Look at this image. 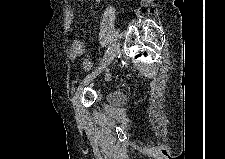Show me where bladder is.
Returning a JSON list of instances; mask_svg holds the SVG:
<instances>
[{
    "instance_id": "31cf9c89",
    "label": "bladder",
    "mask_w": 225,
    "mask_h": 159,
    "mask_svg": "<svg viewBox=\"0 0 225 159\" xmlns=\"http://www.w3.org/2000/svg\"><path fill=\"white\" fill-rule=\"evenodd\" d=\"M109 102L113 105H120L124 102V99L121 95H118L116 93H112L109 96Z\"/></svg>"
}]
</instances>
